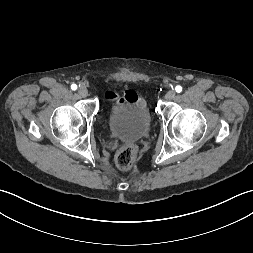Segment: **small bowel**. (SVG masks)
<instances>
[{"label": "small bowel", "instance_id": "c3829d8e", "mask_svg": "<svg viewBox=\"0 0 253 253\" xmlns=\"http://www.w3.org/2000/svg\"><path fill=\"white\" fill-rule=\"evenodd\" d=\"M106 97L112 100H116L117 102L122 103H142L143 99L141 94L137 90L126 89L122 92L121 95H118L114 92H107Z\"/></svg>", "mask_w": 253, "mask_h": 253}]
</instances>
